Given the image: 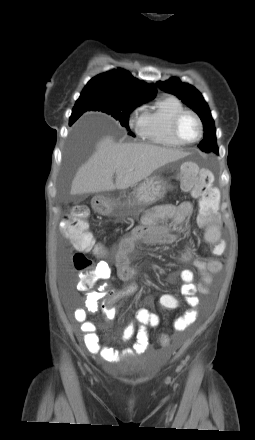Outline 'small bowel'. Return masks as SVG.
<instances>
[{
    "mask_svg": "<svg viewBox=\"0 0 255 440\" xmlns=\"http://www.w3.org/2000/svg\"><path fill=\"white\" fill-rule=\"evenodd\" d=\"M193 213V205L190 202H182L179 205H160L146 213L141 220V225L134 227L126 233L120 240L115 251V267L118 278L123 282L119 289H110L103 285L102 291H94L88 294L86 308H77L74 310L73 317L80 323V330L83 334L82 340L87 350L92 354H99L100 357L109 362H117L122 352L112 347H101L99 336L96 333V327L88 319L87 311L96 312L99 310L98 301L105 298L101 306L107 321L114 318V305L122 299L136 293L138 285L132 280L136 275V269L130 264L128 255L138 243L147 245H172L177 237L174 228L181 225ZM170 220L171 224H162L163 221ZM101 252V248H98ZM180 259L185 262H191L194 268L200 273L201 281L198 284L193 283L194 272L190 269H183L170 276L174 281L179 278L183 284L181 293L191 308L179 317L175 323L176 331H184L196 319V311L200 301L198 294H207L210 292L212 284V275L218 273L222 264L216 259L204 260L194 257L191 252H185ZM96 278L97 281H104L111 276V266L106 260H100L97 263ZM81 290V289H80ZM160 298H177L172 294H163ZM135 320L139 324L136 344L134 350L141 352L149 345L148 327H155L159 324V317L148 308H140L135 314ZM134 334V324L131 322L125 328L122 340H129ZM169 338V337H168Z\"/></svg>",
    "mask_w": 255,
    "mask_h": 440,
    "instance_id": "1",
    "label": "small bowel"
}]
</instances>
